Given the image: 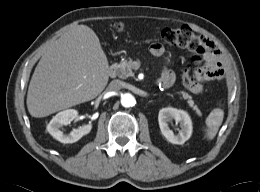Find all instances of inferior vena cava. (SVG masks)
<instances>
[{
    "label": "inferior vena cava",
    "mask_w": 260,
    "mask_h": 192,
    "mask_svg": "<svg viewBox=\"0 0 260 192\" xmlns=\"http://www.w3.org/2000/svg\"><path fill=\"white\" fill-rule=\"evenodd\" d=\"M123 87V82L120 80H112L107 88L108 91H118Z\"/></svg>",
    "instance_id": "1"
}]
</instances>
